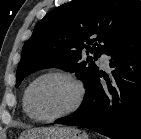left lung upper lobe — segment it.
I'll list each match as a JSON object with an SVG mask.
<instances>
[{
    "mask_svg": "<svg viewBox=\"0 0 141 139\" xmlns=\"http://www.w3.org/2000/svg\"><path fill=\"white\" fill-rule=\"evenodd\" d=\"M140 25L139 0H75L63 4L36 24L24 44L16 87L37 70L57 67L76 72L87 88L98 72L93 59ZM84 49L91 54L86 61Z\"/></svg>",
    "mask_w": 141,
    "mask_h": 139,
    "instance_id": "1",
    "label": "left lung upper lobe"
}]
</instances>
